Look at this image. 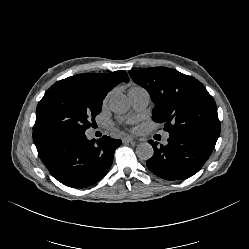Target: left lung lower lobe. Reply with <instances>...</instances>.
Wrapping results in <instances>:
<instances>
[{"mask_svg":"<svg viewBox=\"0 0 249 249\" xmlns=\"http://www.w3.org/2000/svg\"><path fill=\"white\" fill-rule=\"evenodd\" d=\"M218 137L195 131L169 133L168 143L158 146L149 140L154 154L147 160L148 169L166 180H183L197 173L209 158Z\"/></svg>","mask_w":249,"mask_h":249,"instance_id":"0a47b994","label":"left lung lower lobe"}]
</instances>
